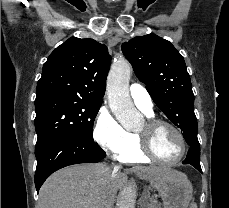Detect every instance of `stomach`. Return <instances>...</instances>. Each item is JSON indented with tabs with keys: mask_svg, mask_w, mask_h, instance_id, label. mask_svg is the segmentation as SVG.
I'll return each instance as SVG.
<instances>
[{
	"mask_svg": "<svg viewBox=\"0 0 229 208\" xmlns=\"http://www.w3.org/2000/svg\"><path fill=\"white\" fill-rule=\"evenodd\" d=\"M159 174L160 176L139 174V178L146 180L152 188L158 190L163 208H188L193 194V186L187 180V176L167 178V176H162V172Z\"/></svg>",
	"mask_w": 229,
	"mask_h": 208,
	"instance_id": "obj_1",
	"label": "stomach"
}]
</instances>
